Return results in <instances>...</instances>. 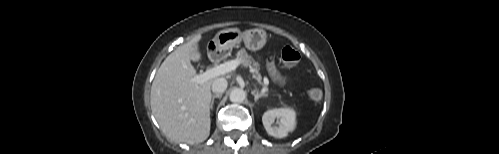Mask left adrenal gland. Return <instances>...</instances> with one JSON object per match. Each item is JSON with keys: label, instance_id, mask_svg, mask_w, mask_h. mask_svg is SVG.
I'll use <instances>...</instances> for the list:
<instances>
[{"label": "left adrenal gland", "instance_id": "obj_1", "mask_svg": "<svg viewBox=\"0 0 499 154\" xmlns=\"http://www.w3.org/2000/svg\"><path fill=\"white\" fill-rule=\"evenodd\" d=\"M251 94L254 96V100L255 102H257L259 100V98H262V97H267L268 94H264V93H259L256 89L253 90L251 92Z\"/></svg>", "mask_w": 499, "mask_h": 154}]
</instances>
